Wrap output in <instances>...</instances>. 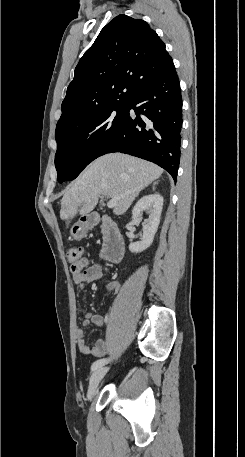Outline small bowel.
Here are the masks:
<instances>
[{
    "mask_svg": "<svg viewBox=\"0 0 245 457\" xmlns=\"http://www.w3.org/2000/svg\"><path fill=\"white\" fill-rule=\"evenodd\" d=\"M102 275L103 267L99 264L92 265L83 271L74 269L72 271L74 282L81 287L87 283L99 280ZM121 286L122 283L120 281H112L107 285L106 289L110 293H116ZM83 325H95L100 327L103 325V319L98 315L87 313L83 317ZM75 335L79 352L83 355L92 357H100L110 351L117 350L120 348L122 342L121 336L117 335L112 329H108L105 337L97 340L93 346H89L86 343L85 332L82 327L76 329Z\"/></svg>",
    "mask_w": 245,
    "mask_h": 457,
    "instance_id": "obj_1",
    "label": "small bowel"
}]
</instances>
